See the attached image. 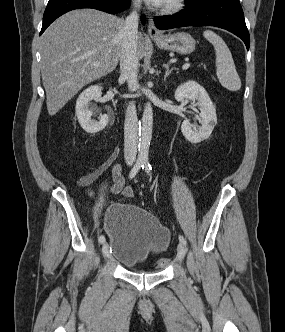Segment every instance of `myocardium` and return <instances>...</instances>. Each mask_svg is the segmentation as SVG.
Wrapping results in <instances>:
<instances>
[{
	"label": "myocardium",
	"mask_w": 285,
	"mask_h": 332,
	"mask_svg": "<svg viewBox=\"0 0 285 332\" xmlns=\"http://www.w3.org/2000/svg\"><path fill=\"white\" fill-rule=\"evenodd\" d=\"M186 0H170L167 2L164 7L161 9L163 14H174L180 11L184 5Z\"/></svg>",
	"instance_id": "1"
}]
</instances>
